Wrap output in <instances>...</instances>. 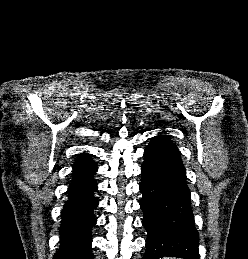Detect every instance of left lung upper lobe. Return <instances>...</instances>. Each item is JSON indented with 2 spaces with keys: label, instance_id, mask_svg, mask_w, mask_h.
Here are the masks:
<instances>
[{
  "label": "left lung upper lobe",
  "instance_id": "obj_1",
  "mask_svg": "<svg viewBox=\"0 0 248 259\" xmlns=\"http://www.w3.org/2000/svg\"><path fill=\"white\" fill-rule=\"evenodd\" d=\"M152 140H157V141L163 142L169 146L176 147L167 135H158V136H155Z\"/></svg>",
  "mask_w": 248,
  "mask_h": 259
}]
</instances>
